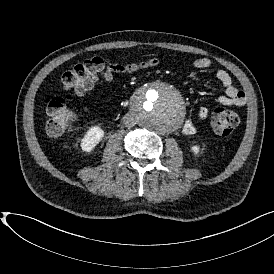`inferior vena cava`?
<instances>
[{
  "label": "inferior vena cava",
  "instance_id": "obj_1",
  "mask_svg": "<svg viewBox=\"0 0 274 274\" xmlns=\"http://www.w3.org/2000/svg\"><path fill=\"white\" fill-rule=\"evenodd\" d=\"M123 123L128 127L132 125L131 121H129L127 118H123Z\"/></svg>",
  "mask_w": 274,
  "mask_h": 274
}]
</instances>
